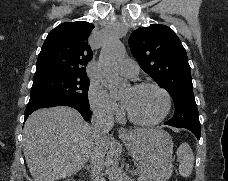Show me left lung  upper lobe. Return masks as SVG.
Returning <instances> with one entry per match:
<instances>
[{
	"label": "left lung upper lobe",
	"instance_id": "5c2ea615",
	"mask_svg": "<svg viewBox=\"0 0 228 181\" xmlns=\"http://www.w3.org/2000/svg\"><path fill=\"white\" fill-rule=\"evenodd\" d=\"M129 45L140 67L173 98L175 114L165 123L201 128L187 54L174 31L160 24L142 27L130 35Z\"/></svg>",
	"mask_w": 228,
	"mask_h": 181
}]
</instances>
